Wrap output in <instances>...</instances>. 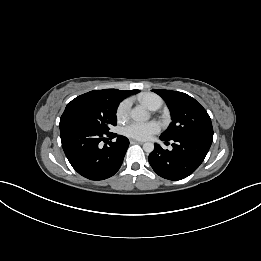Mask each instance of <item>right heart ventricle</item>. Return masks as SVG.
I'll return each mask as SVG.
<instances>
[{
  "label": "right heart ventricle",
  "instance_id": "1",
  "mask_svg": "<svg viewBox=\"0 0 261 261\" xmlns=\"http://www.w3.org/2000/svg\"><path fill=\"white\" fill-rule=\"evenodd\" d=\"M158 99H159L158 96H156V95H154V94L148 93V94H144L143 96H141L140 101H141V103H142L144 106H146L147 108L150 109V108L152 107L153 103H154L156 100H158Z\"/></svg>",
  "mask_w": 261,
  "mask_h": 261
}]
</instances>
